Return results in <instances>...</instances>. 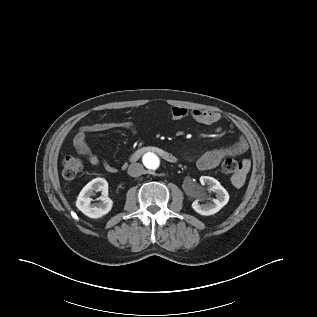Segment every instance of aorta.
<instances>
[{
	"mask_svg": "<svg viewBox=\"0 0 317 317\" xmlns=\"http://www.w3.org/2000/svg\"><path fill=\"white\" fill-rule=\"evenodd\" d=\"M143 163L148 169H156L159 166V158L153 153H147L143 157Z\"/></svg>",
	"mask_w": 317,
	"mask_h": 317,
	"instance_id": "aorta-1",
	"label": "aorta"
}]
</instances>
